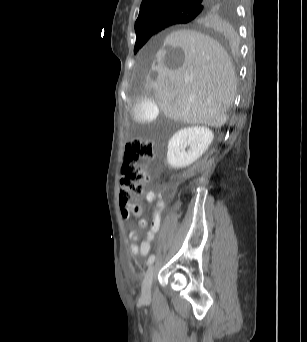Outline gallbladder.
<instances>
[{"instance_id": "obj_1", "label": "gallbladder", "mask_w": 307, "mask_h": 342, "mask_svg": "<svg viewBox=\"0 0 307 342\" xmlns=\"http://www.w3.org/2000/svg\"><path fill=\"white\" fill-rule=\"evenodd\" d=\"M140 99V103L133 105V118H136L137 123H153L157 105L152 100L149 102L146 96Z\"/></svg>"}]
</instances>
